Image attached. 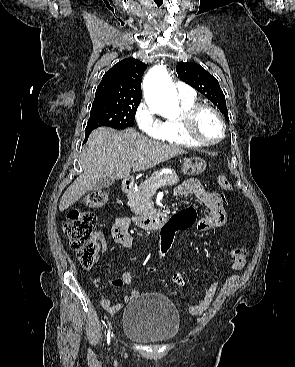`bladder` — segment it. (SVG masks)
Masks as SVG:
<instances>
[{
  "instance_id": "31cf9c89",
  "label": "bladder",
  "mask_w": 295,
  "mask_h": 367,
  "mask_svg": "<svg viewBox=\"0 0 295 367\" xmlns=\"http://www.w3.org/2000/svg\"><path fill=\"white\" fill-rule=\"evenodd\" d=\"M180 328V315L164 295L148 293L132 299L124 308L123 333L142 343H161L173 339Z\"/></svg>"
}]
</instances>
